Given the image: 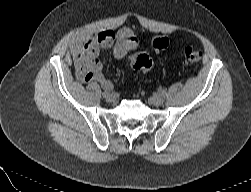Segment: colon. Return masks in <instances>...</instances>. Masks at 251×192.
Segmentation results:
<instances>
[{"label": "colon", "instance_id": "1", "mask_svg": "<svg viewBox=\"0 0 251 192\" xmlns=\"http://www.w3.org/2000/svg\"><path fill=\"white\" fill-rule=\"evenodd\" d=\"M169 45L166 37L157 36L152 40L151 46L155 51H162ZM202 58V52L193 47H186L184 49V61L189 64L197 63ZM129 63L132 68L142 72H148L152 67V59L144 53L135 54L130 57Z\"/></svg>", "mask_w": 251, "mask_h": 192}]
</instances>
